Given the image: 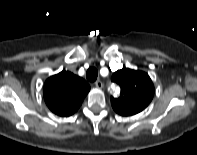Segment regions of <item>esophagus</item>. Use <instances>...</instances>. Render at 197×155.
Instances as JSON below:
<instances>
[{
    "instance_id": "esophagus-1",
    "label": "esophagus",
    "mask_w": 197,
    "mask_h": 155,
    "mask_svg": "<svg viewBox=\"0 0 197 155\" xmlns=\"http://www.w3.org/2000/svg\"><path fill=\"white\" fill-rule=\"evenodd\" d=\"M95 86H96V88H102V87H103L102 81H101V80H97V81L95 82Z\"/></svg>"
}]
</instances>
